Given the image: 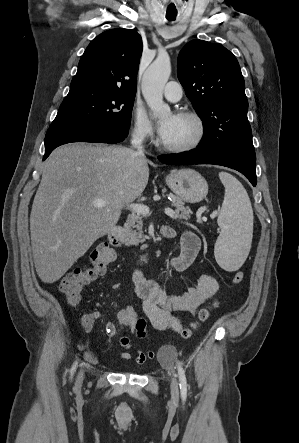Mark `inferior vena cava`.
Here are the masks:
<instances>
[{"label":"inferior vena cava","mask_w":299,"mask_h":443,"mask_svg":"<svg viewBox=\"0 0 299 443\" xmlns=\"http://www.w3.org/2000/svg\"><path fill=\"white\" fill-rule=\"evenodd\" d=\"M143 133L140 131H136L131 139L132 147L137 149V153L141 156H144V150L142 146Z\"/></svg>","instance_id":"602c4592"}]
</instances>
